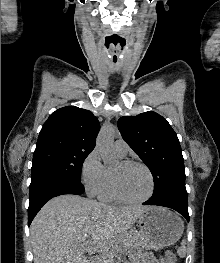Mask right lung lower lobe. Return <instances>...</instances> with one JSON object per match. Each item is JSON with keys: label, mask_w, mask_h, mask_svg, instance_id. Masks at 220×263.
<instances>
[{"label": "right lung lower lobe", "mask_w": 220, "mask_h": 263, "mask_svg": "<svg viewBox=\"0 0 220 263\" xmlns=\"http://www.w3.org/2000/svg\"><path fill=\"white\" fill-rule=\"evenodd\" d=\"M82 193H84V187L81 182L46 174L33 177L30 184L28 225L31 224L41 207L51 198L62 194L80 195Z\"/></svg>", "instance_id": "98d812e1"}]
</instances>
